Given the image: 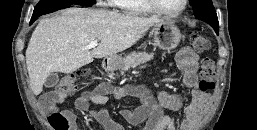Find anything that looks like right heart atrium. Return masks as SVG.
Instances as JSON below:
<instances>
[{"label": "right heart atrium", "instance_id": "1", "mask_svg": "<svg viewBox=\"0 0 257 130\" xmlns=\"http://www.w3.org/2000/svg\"><path fill=\"white\" fill-rule=\"evenodd\" d=\"M100 1H102L101 3L106 6H111L114 3L113 0H100Z\"/></svg>", "mask_w": 257, "mask_h": 130}]
</instances>
